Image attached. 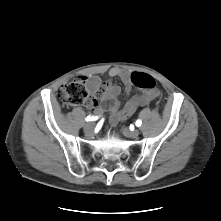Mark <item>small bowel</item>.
I'll use <instances>...</instances> for the list:
<instances>
[{"label": "small bowel", "instance_id": "c3829d8e", "mask_svg": "<svg viewBox=\"0 0 221 221\" xmlns=\"http://www.w3.org/2000/svg\"><path fill=\"white\" fill-rule=\"evenodd\" d=\"M134 74L145 75L146 73L129 72L121 68H112L109 71L111 78H120L122 80L126 94H129L133 85H135L132 79ZM84 80L88 91L93 95V98L89 102V107L99 115L105 110L109 111V121L111 124H117L121 120L130 117L139 106L149 104L160 95L157 89H146L137 96L129 99L123 106H120L117 101V97L120 94L119 86L110 82H103L98 76L84 77Z\"/></svg>", "mask_w": 221, "mask_h": 221}]
</instances>
